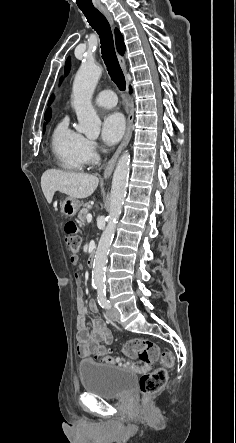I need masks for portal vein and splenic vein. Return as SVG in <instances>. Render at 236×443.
Listing matches in <instances>:
<instances>
[{
  "label": "portal vein and splenic vein",
  "mask_w": 236,
  "mask_h": 443,
  "mask_svg": "<svg viewBox=\"0 0 236 443\" xmlns=\"http://www.w3.org/2000/svg\"><path fill=\"white\" fill-rule=\"evenodd\" d=\"M86 219H87L88 222H91L92 221V215L91 214H87Z\"/></svg>",
  "instance_id": "obj_1"
}]
</instances>
